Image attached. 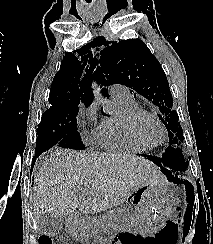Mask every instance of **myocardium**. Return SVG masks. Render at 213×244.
I'll list each match as a JSON object with an SVG mask.
<instances>
[{
  "label": "myocardium",
  "instance_id": "f54148a6",
  "mask_svg": "<svg viewBox=\"0 0 213 244\" xmlns=\"http://www.w3.org/2000/svg\"><path fill=\"white\" fill-rule=\"evenodd\" d=\"M145 117L153 119L159 125V127L162 131V138L158 143H149L141 136V134L138 130V125H139L140 121ZM125 127L127 130V133L134 141H136L137 143H139L149 149L160 146L167 137V130H166L163 122L161 121V119L155 113H152L150 111L143 110V109H139V110L134 111V112L130 113L129 115H127L125 118Z\"/></svg>",
  "mask_w": 213,
  "mask_h": 244
}]
</instances>
